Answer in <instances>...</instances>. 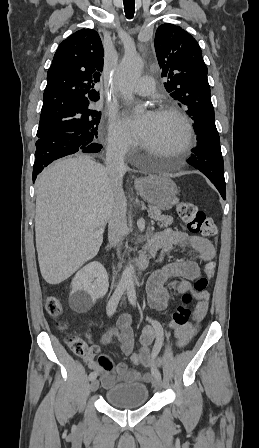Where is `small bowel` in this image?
<instances>
[{
  "instance_id": "1",
  "label": "small bowel",
  "mask_w": 259,
  "mask_h": 448,
  "mask_svg": "<svg viewBox=\"0 0 259 448\" xmlns=\"http://www.w3.org/2000/svg\"><path fill=\"white\" fill-rule=\"evenodd\" d=\"M156 249L161 251L159 269L154 271L146 284L148 305L156 310L167 307L172 292L191 293L197 300L192 322L184 327L170 328L176 339L178 347L185 346L197 333L200 324L205 319L209 307V292L196 291L191 282L201 276L200 265L207 264L215 257L214 245L206 238L190 235L185 232L166 229L156 234L151 240ZM175 247L186 250L189 257L169 263L164 262V257ZM131 315L124 314L119 317L114 328L110 329L103 337L102 343L107 345L116 340L124 355H131L134 348V334L131 328ZM153 330L150 326L142 330L140 336L141 364L149 372L131 370L125 363H114L112 359L103 354L100 346L93 345L88 353L83 356L87 367L99 375L102 386L106 389L116 382L127 383L149 382L152 372L160 366V360L152 356L151 343Z\"/></svg>"
}]
</instances>
